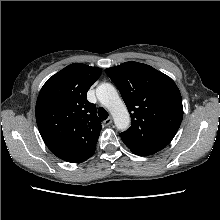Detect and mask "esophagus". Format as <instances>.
I'll return each mask as SVG.
<instances>
[{"instance_id": "esophagus-1", "label": "esophagus", "mask_w": 220, "mask_h": 220, "mask_svg": "<svg viewBox=\"0 0 220 220\" xmlns=\"http://www.w3.org/2000/svg\"><path fill=\"white\" fill-rule=\"evenodd\" d=\"M105 126H108L112 123V117H108L106 120L103 121Z\"/></svg>"}]
</instances>
